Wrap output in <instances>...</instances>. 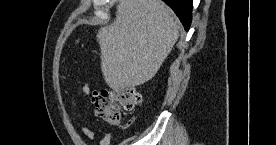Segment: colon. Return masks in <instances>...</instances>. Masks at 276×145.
<instances>
[{
    "label": "colon",
    "instance_id": "obj_1",
    "mask_svg": "<svg viewBox=\"0 0 276 145\" xmlns=\"http://www.w3.org/2000/svg\"><path fill=\"white\" fill-rule=\"evenodd\" d=\"M91 101L95 107L96 116L107 124L116 126L121 123V111L136 109L142 97L133 86L124 85L94 91Z\"/></svg>",
    "mask_w": 276,
    "mask_h": 145
}]
</instances>
